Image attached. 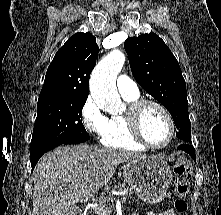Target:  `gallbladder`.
<instances>
[{
    "mask_svg": "<svg viewBox=\"0 0 221 215\" xmlns=\"http://www.w3.org/2000/svg\"><path fill=\"white\" fill-rule=\"evenodd\" d=\"M66 215H81V210L76 205L70 206Z\"/></svg>",
    "mask_w": 221,
    "mask_h": 215,
    "instance_id": "1",
    "label": "gallbladder"
}]
</instances>
